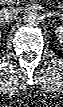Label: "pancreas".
Segmentation results:
<instances>
[{"label": "pancreas", "mask_w": 63, "mask_h": 107, "mask_svg": "<svg viewBox=\"0 0 63 107\" xmlns=\"http://www.w3.org/2000/svg\"><path fill=\"white\" fill-rule=\"evenodd\" d=\"M9 3H13V1H9Z\"/></svg>", "instance_id": "pancreas-1"}]
</instances>
